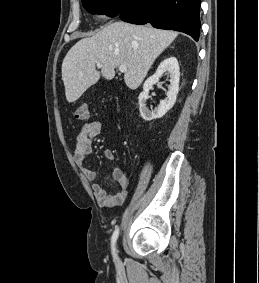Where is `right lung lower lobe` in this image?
I'll return each mask as SVG.
<instances>
[{
  "mask_svg": "<svg viewBox=\"0 0 259 283\" xmlns=\"http://www.w3.org/2000/svg\"><path fill=\"white\" fill-rule=\"evenodd\" d=\"M200 0H119L116 15L133 24L184 32L198 41Z\"/></svg>",
  "mask_w": 259,
  "mask_h": 283,
  "instance_id": "obj_1",
  "label": "right lung lower lobe"
}]
</instances>
